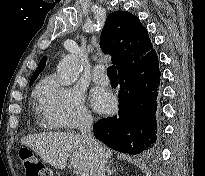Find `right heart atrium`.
<instances>
[{
    "mask_svg": "<svg viewBox=\"0 0 205 176\" xmlns=\"http://www.w3.org/2000/svg\"><path fill=\"white\" fill-rule=\"evenodd\" d=\"M39 109L50 129L65 130L86 126L91 114L82 94L61 85L56 76L47 77L37 92Z\"/></svg>",
    "mask_w": 205,
    "mask_h": 176,
    "instance_id": "obj_1",
    "label": "right heart atrium"
}]
</instances>
